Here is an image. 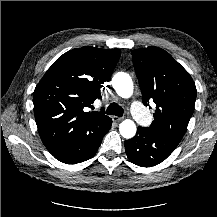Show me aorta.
<instances>
[{"instance_id":"762f6f07","label":"aorta","mask_w":217,"mask_h":217,"mask_svg":"<svg viewBox=\"0 0 217 217\" xmlns=\"http://www.w3.org/2000/svg\"><path fill=\"white\" fill-rule=\"evenodd\" d=\"M112 86L117 94L123 98H128L133 93V82L129 74L118 72L112 78ZM119 131L122 137L131 139L135 136L137 128L135 123L126 119L119 126Z\"/></svg>"}]
</instances>
